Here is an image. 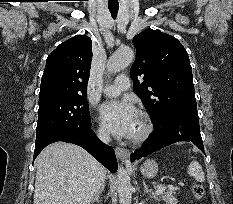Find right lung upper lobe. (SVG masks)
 <instances>
[{"label": "right lung upper lobe", "mask_w": 233, "mask_h": 204, "mask_svg": "<svg viewBox=\"0 0 233 204\" xmlns=\"http://www.w3.org/2000/svg\"><path fill=\"white\" fill-rule=\"evenodd\" d=\"M92 60V42L76 35L60 44L47 58L39 101L55 97L86 96Z\"/></svg>", "instance_id": "right-lung-upper-lobe-1"}]
</instances>
